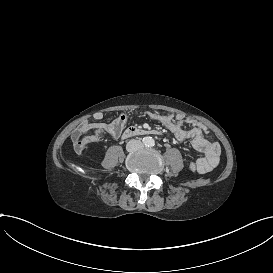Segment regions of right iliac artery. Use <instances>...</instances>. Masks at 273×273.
Returning <instances> with one entry per match:
<instances>
[{"instance_id": "1", "label": "right iliac artery", "mask_w": 273, "mask_h": 273, "mask_svg": "<svg viewBox=\"0 0 273 273\" xmlns=\"http://www.w3.org/2000/svg\"><path fill=\"white\" fill-rule=\"evenodd\" d=\"M143 142H144V144H147L148 142H150V139H149L148 137H145V138L143 139Z\"/></svg>"}]
</instances>
